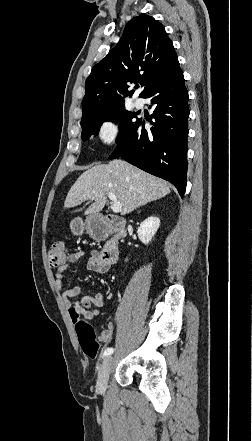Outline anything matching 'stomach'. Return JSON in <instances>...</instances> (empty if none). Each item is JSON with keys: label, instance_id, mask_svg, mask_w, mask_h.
I'll return each instance as SVG.
<instances>
[{"label": "stomach", "instance_id": "obj_1", "mask_svg": "<svg viewBox=\"0 0 252 441\" xmlns=\"http://www.w3.org/2000/svg\"><path fill=\"white\" fill-rule=\"evenodd\" d=\"M92 225H93V218L88 217L85 221H83L81 218H75L72 220L70 224L71 231L75 235H81L84 230H86L89 233H92Z\"/></svg>", "mask_w": 252, "mask_h": 441}]
</instances>
